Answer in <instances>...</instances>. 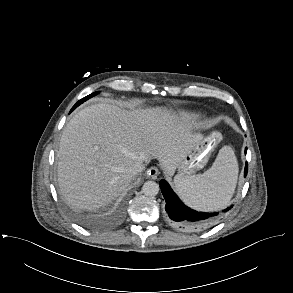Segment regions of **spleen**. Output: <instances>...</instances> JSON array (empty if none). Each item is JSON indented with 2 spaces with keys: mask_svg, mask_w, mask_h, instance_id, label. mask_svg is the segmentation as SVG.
I'll return each mask as SVG.
<instances>
[{
  "mask_svg": "<svg viewBox=\"0 0 293 293\" xmlns=\"http://www.w3.org/2000/svg\"><path fill=\"white\" fill-rule=\"evenodd\" d=\"M238 177V163L233 149H220L212 167L203 174L176 180V190L190 207L213 211L224 208L230 202Z\"/></svg>",
  "mask_w": 293,
  "mask_h": 293,
  "instance_id": "obj_1",
  "label": "spleen"
}]
</instances>
